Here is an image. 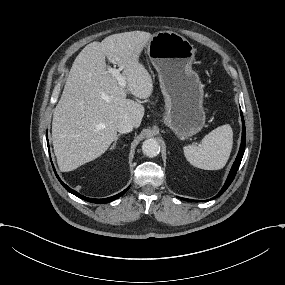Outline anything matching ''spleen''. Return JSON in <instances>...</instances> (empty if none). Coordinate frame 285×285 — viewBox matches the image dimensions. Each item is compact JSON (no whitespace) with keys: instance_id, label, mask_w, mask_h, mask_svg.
Here are the masks:
<instances>
[{"instance_id":"spleen-1","label":"spleen","mask_w":285,"mask_h":285,"mask_svg":"<svg viewBox=\"0 0 285 285\" xmlns=\"http://www.w3.org/2000/svg\"><path fill=\"white\" fill-rule=\"evenodd\" d=\"M232 129L221 125L197 144H185L184 156L190 164L204 170H219L226 164L232 148Z\"/></svg>"}]
</instances>
